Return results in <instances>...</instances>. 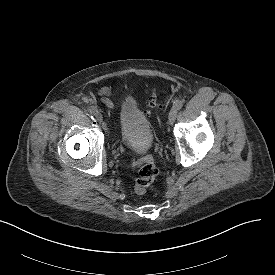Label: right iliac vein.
Wrapping results in <instances>:
<instances>
[{"label": "right iliac vein", "mask_w": 275, "mask_h": 275, "mask_svg": "<svg viewBox=\"0 0 275 275\" xmlns=\"http://www.w3.org/2000/svg\"><path fill=\"white\" fill-rule=\"evenodd\" d=\"M94 116H95V118H96L97 121H101L102 120V115H101V113L98 110L95 111Z\"/></svg>", "instance_id": "1"}]
</instances>
